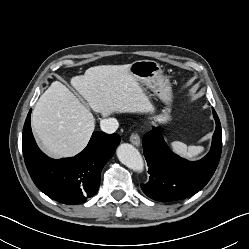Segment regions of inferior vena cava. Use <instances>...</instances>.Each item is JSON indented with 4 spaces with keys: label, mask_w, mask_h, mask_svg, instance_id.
I'll use <instances>...</instances> for the list:
<instances>
[{
    "label": "inferior vena cava",
    "mask_w": 249,
    "mask_h": 249,
    "mask_svg": "<svg viewBox=\"0 0 249 249\" xmlns=\"http://www.w3.org/2000/svg\"><path fill=\"white\" fill-rule=\"evenodd\" d=\"M119 123L114 118L103 119L100 122L101 130L105 133L111 134L118 129Z\"/></svg>",
    "instance_id": "1"
}]
</instances>
